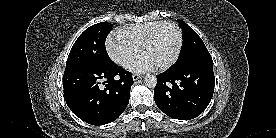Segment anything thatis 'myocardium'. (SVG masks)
I'll use <instances>...</instances> for the list:
<instances>
[{"label":"myocardium","instance_id":"myocardium-1","mask_svg":"<svg viewBox=\"0 0 276 138\" xmlns=\"http://www.w3.org/2000/svg\"><path fill=\"white\" fill-rule=\"evenodd\" d=\"M164 26H172L176 29L177 33H178V47L177 50L173 56V58L165 63L162 66H159V69L161 70H166L168 68H170L171 66H173L177 60L179 59V56L181 54L182 48H183V44H184V36H183V31L181 29V27L174 21H162L158 26H156L152 32L149 34V36L147 37V39L144 41V43L141 46V52L143 53V51L153 43V41L155 40L156 36L158 35L159 31L164 27Z\"/></svg>","mask_w":276,"mask_h":138}]
</instances>
